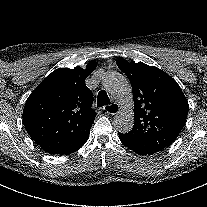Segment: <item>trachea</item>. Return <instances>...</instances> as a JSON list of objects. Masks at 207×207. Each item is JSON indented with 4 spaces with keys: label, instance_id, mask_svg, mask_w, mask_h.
I'll use <instances>...</instances> for the list:
<instances>
[{
    "label": "trachea",
    "instance_id": "1",
    "mask_svg": "<svg viewBox=\"0 0 207 207\" xmlns=\"http://www.w3.org/2000/svg\"><path fill=\"white\" fill-rule=\"evenodd\" d=\"M109 104V97L107 95V93L102 90L98 93V97H97V106L98 107H102L104 105H108ZM108 108V106H106V109Z\"/></svg>",
    "mask_w": 207,
    "mask_h": 207
}]
</instances>
